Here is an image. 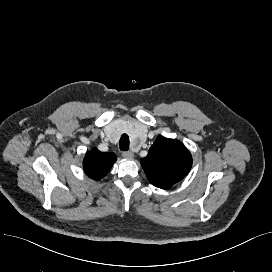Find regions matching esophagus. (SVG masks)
Listing matches in <instances>:
<instances>
[{"label": "esophagus", "instance_id": "34e87169", "mask_svg": "<svg viewBox=\"0 0 272 272\" xmlns=\"http://www.w3.org/2000/svg\"><path fill=\"white\" fill-rule=\"evenodd\" d=\"M122 156L126 159H132L134 157V154L132 152H123Z\"/></svg>", "mask_w": 272, "mask_h": 272}]
</instances>
